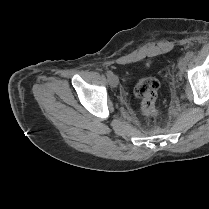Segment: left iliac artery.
<instances>
[{"instance_id": "obj_1", "label": "left iliac artery", "mask_w": 209, "mask_h": 209, "mask_svg": "<svg viewBox=\"0 0 209 209\" xmlns=\"http://www.w3.org/2000/svg\"><path fill=\"white\" fill-rule=\"evenodd\" d=\"M194 56L193 51H188L185 55V57L187 58V60H190L192 57Z\"/></svg>"}]
</instances>
